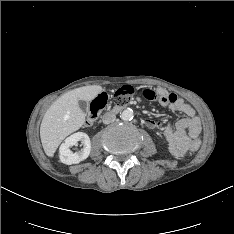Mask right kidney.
Wrapping results in <instances>:
<instances>
[{"instance_id":"1","label":"right kidney","mask_w":234,"mask_h":234,"mask_svg":"<svg viewBox=\"0 0 234 234\" xmlns=\"http://www.w3.org/2000/svg\"><path fill=\"white\" fill-rule=\"evenodd\" d=\"M81 141L83 148L80 151L72 152L71 147ZM91 151L90 138L86 133L77 132L64 140L59 148V158L64 164H77L88 158Z\"/></svg>"}]
</instances>
